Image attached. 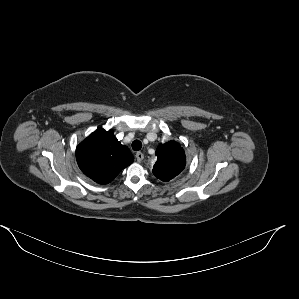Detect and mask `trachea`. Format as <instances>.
<instances>
[{
  "instance_id": "obj_1",
  "label": "trachea",
  "mask_w": 299,
  "mask_h": 299,
  "mask_svg": "<svg viewBox=\"0 0 299 299\" xmlns=\"http://www.w3.org/2000/svg\"><path fill=\"white\" fill-rule=\"evenodd\" d=\"M141 148H142V143H141V141H139V140H134V141L132 142V149H133L134 151H139Z\"/></svg>"
}]
</instances>
